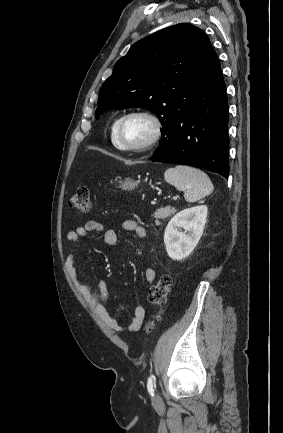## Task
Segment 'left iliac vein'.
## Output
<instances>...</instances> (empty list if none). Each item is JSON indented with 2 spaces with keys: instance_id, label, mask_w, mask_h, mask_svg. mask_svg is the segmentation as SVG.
I'll list each match as a JSON object with an SVG mask.
<instances>
[{
  "instance_id": "obj_1",
  "label": "left iliac vein",
  "mask_w": 283,
  "mask_h": 433,
  "mask_svg": "<svg viewBox=\"0 0 283 433\" xmlns=\"http://www.w3.org/2000/svg\"><path fill=\"white\" fill-rule=\"evenodd\" d=\"M153 401H154V405H155V406H160V405H161V398H160L158 395H156V396L153 398Z\"/></svg>"
}]
</instances>
